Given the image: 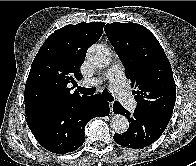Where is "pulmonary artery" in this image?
Masks as SVG:
<instances>
[{"instance_id":"pulmonary-artery-1","label":"pulmonary artery","mask_w":196,"mask_h":166,"mask_svg":"<svg viewBox=\"0 0 196 166\" xmlns=\"http://www.w3.org/2000/svg\"><path fill=\"white\" fill-rule=\"evenodd\" d=\"M104 79L109 80L110 90L123 106L128 109H134L136 102L127 90L125 84L124 69L120 64L113 65L104 75ZM98 82L97 79L84 80L81 85L89 87Z\"/></svg>"}]
</instances>
